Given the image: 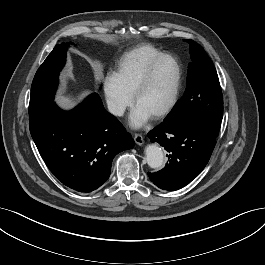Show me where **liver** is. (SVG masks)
<instances>
[{"mask_svg": "<svg viewBox=\"0 0 265 265\" xmlns=\"http://www.w3.org/2000/svg\"><path fill=\"white\" fill-rule=\"evenodd\" d=\"M57 103L64 108H72L74 106L73 99L68 95H61L57 98Z\"/></svg>", "mask_w": 265, "mask_h": 265, "instance_id": "obj_1", "label": "liver"}]
</instances>
